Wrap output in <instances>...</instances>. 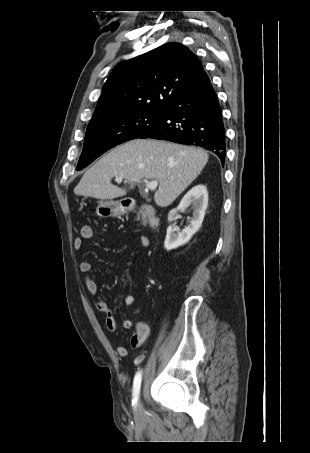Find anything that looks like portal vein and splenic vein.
Segmentation results:
<instances>
[{
	"instance_id": "18ae733b",
	"label": "portal vein and splenic vein",
	"mask_w": 310,
	"mask_h": 453,
	"mask_svg": "<svg viewBox=\"0 0 310 453\" xmlns=\"http://www.w3.org/2000/svg\"><path fill=\"white\" fill-rule=\"evenodd\" d=\"M115 181L120 183V182H122V178L121 177H116ZM145 186H146L147 189H149L151 191H154V190H156V188L158 186V182L156 180H153V181H146L145 180Z\"/></svg>"
}]
</instances>
